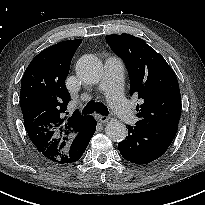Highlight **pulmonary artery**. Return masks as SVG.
I'll list each match as a JSON object with an SVG mask.
<instances>
[{
    "instance_id": "obj_1",
    "label": "pulmonary artery",
    "mask_w": 205,
    "mask_h": 205,
    "mask_svg": "<svg viewBox=\"0 0 205 205\" xmlns=\"http://www.w3.org/2000/svg\"><path fill=\"white\" fill-rule=\"evenodd\" d=\"M123 62L118 56H109L105 60L104 73L99 87L106 93L107 99L117 111L121 121L131 124L135 115L129 102L122 96Z\"/></svg>"
}]
</instances>
